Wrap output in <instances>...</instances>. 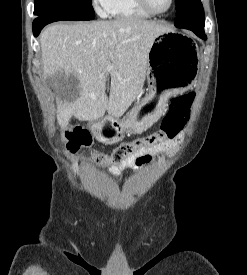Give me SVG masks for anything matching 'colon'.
I'll use <instances>...</instances> for the list:
<instances>
[{"label": "colon", "instance_id": "5ec220e1", "mask_svg": "<svg viewBox=\"0 0 247 275\" xmlns=\"http://www.w3.org/2000/svg\"><path fill=\"white\" fill-rule=\"evenodd\" d=\"M194 98L195 95L193 93L174 97L157 131L117 146L110 157H105L99 152H92L93 161L99 167L106 161L119 164L135 156L142 149L174 138L190 118ZM63 139L65 146L71 151H77L91 144L90 134L80 126L69 127L65 131Z\"/></svg>", "mask_w": 247, "mask_h": 275}]
</instances>
